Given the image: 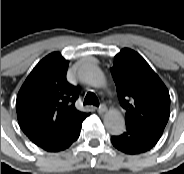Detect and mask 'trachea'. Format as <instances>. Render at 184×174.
<instances>
[{
    "mask_svg": "<svg viewBox=\"0 0 184 174\" xmlns=\"http://www.w3.org/2000/svg\"><path fill=\"white\" fill-rule=\"evenodd\" d=\"M84 104H93V105L98 106L99 101H98L97 96L94 93L88 92L85 97Z\"/></svg>",
    "mask_w": 184,
    "mask_h": 174,
    "instance_id": "trachea-1",
    "label": "trachea"
}]
</instances>
